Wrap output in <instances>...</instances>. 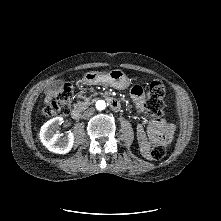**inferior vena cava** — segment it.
<instances>
[{"label": "inferior vena cava", "mask_w": 221, "mask_h": 221, "mask_svg": "<svg viewBox=\"0 0 221 221\" xmlns=\"http://www.w3.org/2000/svg\"><path fill=\"white\" fill-rule=\"evenodd\" d=\"M94 111H95L94 108H89V109H87V110L84 112L83 117H84V118H87V117L92 116V115L94 114Z\"/></svg>", "instance_id": "obj_1"}]
</instances>
